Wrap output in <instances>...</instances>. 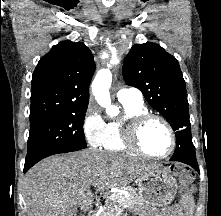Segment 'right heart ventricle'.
<instances>
[{"label":"right heart ventricle","mask_w":221,"mask_h":216,"mask_svg":"<svg viewBox=\"0 0 221 216\" xmlns=\"http://www.w3.org/2000/svg\"><path fill=\"white\" fill-rule=\"evenodd\" d=\"M124 114L121 118L109 121L106 124V133L102 143V148L112 152H127L129 147L126 145L123 137V127L126 122L132 118L147 113L148 109L143 103L126 101L121 102Z\"/></svg>","instance_id":"obj_1"}]
</instances>
